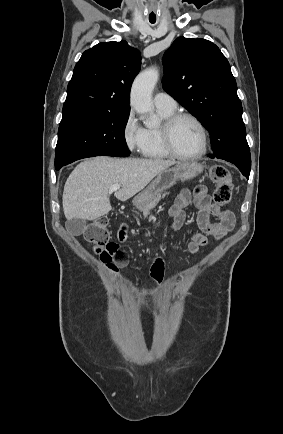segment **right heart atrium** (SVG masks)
Returning a JSON list of instances; mask_svg holds the SVG:
<instances>
[{"mask_svg": "<svg viewBox=\"0 0 283 434\" xmlns=\"http://www.w3.org/2000/svg\"><path fill=\"white\" fill-rule=\"evenodd\" d=\"M122 137L129 151H142L145 142V129L138 122L133 110H130L125 118Z\"/></svg>", "mask_w": 283, "mask_h": 434, "instance_id": "d8ad5b80", "label": "right heart atrium"}]
</instances>
